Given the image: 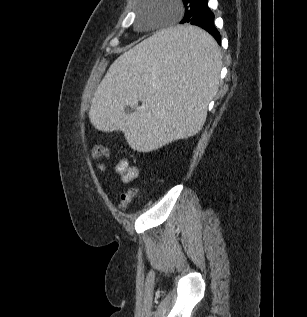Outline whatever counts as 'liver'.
Masks as SVG:
<instances>
[{"mask_svg": "<svg viewBox=\"0 0 307 317\" xmlns=\"http://www.w3.org/2000/svg\"><path fill=\"white\" fill-rule=\"evenodd\" d=\"M92 86L95 88L97 85L94 83Z\"/></svg>", "mask_w": 307, "mask_h": 317, "instance_id": "liver-1", "label": "liver"}]
</instances>
